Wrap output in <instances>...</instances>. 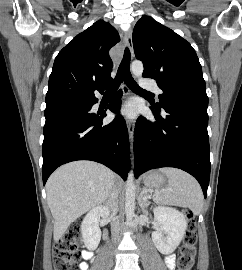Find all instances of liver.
<instances>
[{"label": "liver", "mask_w": 242, "mask_h": 270, "mask_svg": "<svg viewBox=\"0 0 242 270\" xmlns=\"http://www.w3.org/2000/svg\"><path fill=\"white\" fill-rule=\"evenodd\" d=\"M116 175L102 164L75 161L58 168L46 183L47 201L54 218V241L71 223L109 197Z\"/></svg>", "instance_id": "obj_1"}]
</instances>
